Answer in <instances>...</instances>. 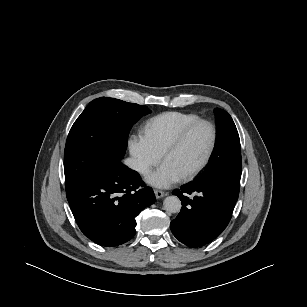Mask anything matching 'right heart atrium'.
Segmentation results:
<instances>
[{
	"instance_id": "1",
	"label": "right heart atrium",
	"mask_w": 307,
	"mask_h": 307,
	"mask_svg": "<svg viewBox=\"0 0 307 307\" xmlns=\"http://www.w3.org/2000/svg\"><path fill=\"white\" fill-rule=\"evenodd\" d=\"M128 147L132 166L141 174L150 171L162 159V154L154 149L144 135H133L129 140Z\"/></svg>"
}]
</instances>
